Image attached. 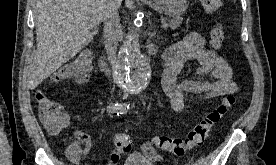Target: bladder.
Returning <instances> with one entry per match:
<instances>
[{
	"label": "bladder",
	"instance_id": "1",
	"mask_svg": "<svg viewBox=\"0 0 276 165\" xmlns=\"http://www.w3.org/2000/svg\"><path fill=\"white\" fill-rule=\"evenodd\" d=\"M123 165H154L150 160L147 158L138 155V154H132L130 155Z\"/></svg>",
	"mask_w": 276,
	"mask_h": 165
}]
</instances>
